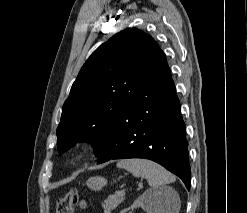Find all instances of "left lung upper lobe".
Returning a JSON list of instances; mask_svg holds the SVG:
<instances>
[{"mask_svg": "<svg viewBox=\"0 0 247 213\" xmlns=\"http://www.w3.org/2000/svg\"><path fill=\"white\" fill-rule=\"evenodd\" d=\"M154 39L127 28L97 48L81 68L62 109L57 147L92 142L99 157L112 139L114 125L133 98L147 70L165 60Z\"/></svg>", "mask_w": 247, "mask_h": 213, "instance_id": "obj_1", "label": "left lung upper lobe"}]
</instances>
